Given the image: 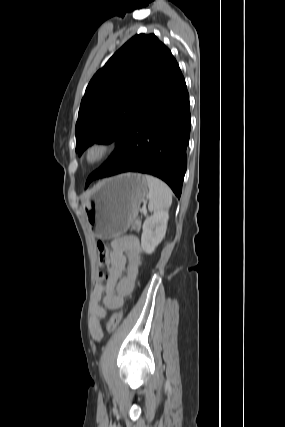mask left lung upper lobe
Returning <instances> with one entry per match:
<instances>
[{
	"instance_id": "obj_1",
	"label": "left lung upper lobe",
	"mask_w": 285,
	"mask_h": 427,
	"mask_svg": "<svg viewBox=\"0 0 285 427\" xmlns=\"http://www.w3.org/2000/svg\"><path fill=\"white\" fill-rule=\"evenodd\" d=\"M172 58L154 34L127 41L91 79L76 123V152L93 143L117 146L146 106Z\"/></svg>"
}]
</instances>
